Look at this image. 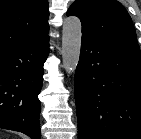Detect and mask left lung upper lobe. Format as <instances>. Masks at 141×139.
<instances>
[{
  "label": "left lung upper lobe",
  "mask_w": 141,
  "mask_h": 139,
  "mask_svg": "<svg viewBox=\"0 0 141 139\" xmlns=\"http://www.w3.org/2000/svg\"><path fill=\"white\" fill-rule=\"evenodd\" d=\"M67 15L81 20L82 34L139 49L131 17L117 0H76Z\"/></svg>",
  "instance_id": "obj_1"
}]
</instances>
